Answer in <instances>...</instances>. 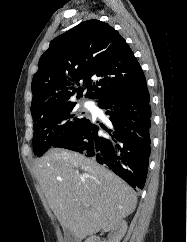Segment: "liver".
Segmentation results:
<instances>
[{"instance_id": "obj_1", "label": "liver", "mask_w": 187, "mask_h": 242, "mask_svg": "<svg viewBox=\"0 0 187 242\" xmlns=\"http://www.w3.org/2000/svg\"><path fill=\"white\" fill-rule=\"evenodd\" d=\"M35 176L63 229L82 240L134 212L137 196L122 179L79 153L51 149Z\"/></svg>"}]
</instances>
